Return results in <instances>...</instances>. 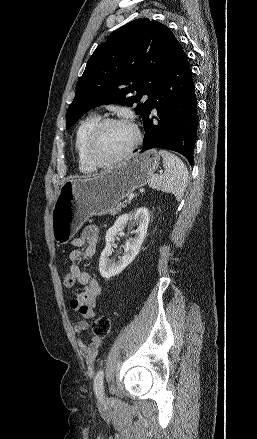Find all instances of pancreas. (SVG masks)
Returning a JSON list of instances; mask_svg holds the SVG:
<instances>
[{
	"instance_id": "cf45deb5",
	"label": "pancreas",
	"mask_w": 257,
	"mask_h": 439,
	"mask_svg": "<svg viewBox=\"0 0 257 439\" xmlns=\"http://www.w3.org/2000/svg\"><path fill=\"white\" fill-rule=\"evenodd\" d=\"M126 206H127V202L126 201L117 203V204H115L114 207L111 208L109 213L111 215H117L121 211V209L125 208Z\"/></svg>"
}]
</instances>
